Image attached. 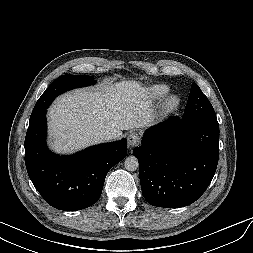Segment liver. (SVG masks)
I'll list each match as a JSON object with an SVG mask.
<instances>
[{
	"label": "liver",
	"mask_w": 253,
	"mask_h": 253,
	"mask_svg": "<svg viewBox=\"0 0 253 253\" xmlns=\"http://www.w3.org/2000/svg\"><path fill=\"white\" fill-rule=\"evenodd\" d=\"M147 95L138 82L122 81L59 96L48 111L51 148L72 153L101 142V130L111 131L117 139L123 130L150 124L153 110Z\"/></svg>",
	"instance_id": "6515ba94"
}]
</instances>
